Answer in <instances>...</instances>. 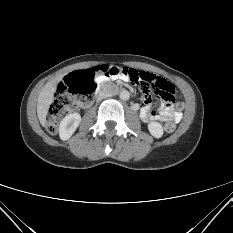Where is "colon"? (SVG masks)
<instances>
[{"label":"colon","mask_w":233,"mask_h":233,"mask_svg":"<svg viewBox=\"0 0 233 233\" xmlns=\"http://www.w3.org/2000/svg\"><path fill=\"white\" fill-rule=\"evenodd\" d=\"M97 74L124 78L132 84L141 86L147 92L154 91L157 96L164 100H171L174 95V87L170 82L127 67L119 68L102 65L92 70L74 72L59 84L54 100L49 107L46 127L50 133L55 134L57 132L59 121L71 108L69 95L77 103H85L91 99L95 89L94 77ZM176 107L181 108V105L177 104ZM164 129L166 132L171 133L175 130V124L167 123Z\"/></svg>","instance_id":"obj_1"}]
</instances>
